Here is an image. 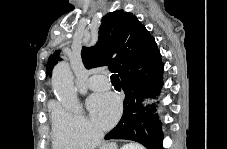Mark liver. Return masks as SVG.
<instances>
[{"label": "liver", "instance_id": "6515ba94", "mask_svg": "<svg viewBox=\"0 0 227 149\" xmlns=\"http://www.w3.org/2000/svg\"><path fill=\"white\" fill-rule=\"evenodd\" d=\"M136 146H137V149H144L143 146L141 145H136ZM100 149H117V145L116 143H107L101 146Z\"/></svg>", "mask_w": 227, "mask_h": 149}]
</instances>
